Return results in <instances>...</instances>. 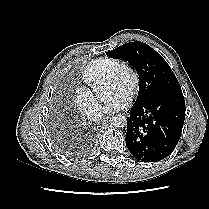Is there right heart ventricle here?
I'll use <instances>...</instances> for the list:
<instances>
[{"label": "right heart ventricle", "instance_id": "right-heart-ventricle-1", "mask_svg": "<svg viewBox=\"0 0 209 209\" xmlns=\"http://www.w3.org/2000/svg\"><path fill=\"white\" fill-rule=\"evenodd\" d=\"M120 62L113 57H101L88 63L82 72V80L90 87L102 82L110 70Z\"/></svg>", "mask_w": 209, "mask_h": 209}]
</instances>
